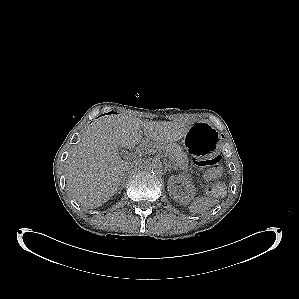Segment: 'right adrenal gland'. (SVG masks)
Returning <instances> with one entry per match:
<instances>
[{"label":"right adrenal gland","mask_w":299,"mask_h":299,"mask_svg":"<svg viewBox=\"0 0 299 299\" xmlns=\"http://www.w3.org/2000/svg\"><path fill=\"white\" fill-rule=\"evenodd\" d=\"M126 177H127V173L123 175V179H122V181H121L122 184H121V187H120L119 189H122V188L124 187V186H123V183H124Z\"/></svg>","instance_id":"obj_1"}]
</instances>
